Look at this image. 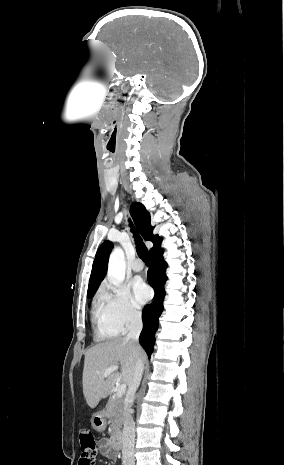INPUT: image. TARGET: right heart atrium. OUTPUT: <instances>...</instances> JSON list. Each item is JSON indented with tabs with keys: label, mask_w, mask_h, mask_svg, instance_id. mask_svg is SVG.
Masks as SVG:
<instances>
[{
	"label": "right heart atrium",
	"mask_w": 284,
	"mask_h": 465,
	"mask_svg": "<svg viewBox=\"0 0 284 465\" xmlns=\"http://www.w3.org/2000/svg\"><path fill=\"white\" fill-rule=\"evenodd\" d=\"M97 302L105 305L116 325L127 331L137 325L142 318V310L129 299L126 288L104 283L97 294Z\"/></svg>",
	"instance_id": "obj_1"
}]
</instances>
